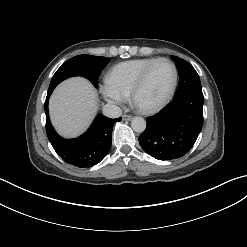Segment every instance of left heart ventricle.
I'll use <instances>...</instances> for the list:
<instances>
[{"label": "left heart ventricle", "mask_w": 247, "mask_h": 247, "mask_svg": "<svg viewBox=\"0 0 247 247\" xmlns=\"http://www.w3.org/2000/svg\"><path fill=\"white\" fill-rule=\"evenodd\" d=\"M173 81V68L165 61L158 62L150 70L142 88L137 94V103L151 107L161 102L167 95Z\"/></svg>", "instance_id": "b2bd125f"}]
</instances>
